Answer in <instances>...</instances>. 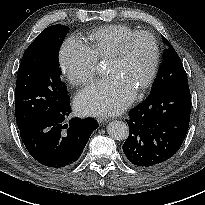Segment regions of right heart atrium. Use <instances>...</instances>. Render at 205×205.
Here are the masks:
<instances>
[{
    "label": "right heart atrium",
    "instance_id": "1",
    "mask_svg": "<svg viewBox=\"0 0 205 205\" xmlns=\"http://www.w3.org/2000/svg\"><path fill=\"white\" fill-rule=\"evenodd\" d=\"M58 61L68 81L75 86L86 85L95 76L97 59L90 48L75 36L63 42Z\"/></svg>",
    "mask_w": 205,
    "mask_h": 205
}]
</instances>
